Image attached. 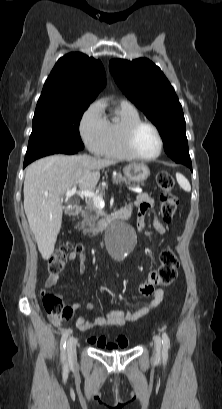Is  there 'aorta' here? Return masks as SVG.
I'll use <instances>...</instances> for the list:
<instances>
[{"mask_svg":"<svg viewBox=\"0 0 222 409\" xmlns=\"http://www.w3.org/2000/svg\"><path fill=\"white\" fill-rule=\"evenodd\" d=\"M133 236V230L128 224L122 222L114 224L108 235L111 250L118 256H127L132 249L131 239Z\"/></svg>","mask_w":222,"mask_h":409,"instance_id":"1","label":"aorta"}]
</instances>
